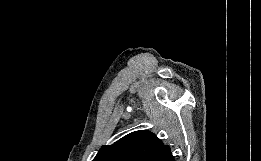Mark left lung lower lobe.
<instances>
[{
	"label": "left lung lower lobe",
	"instance_id": "1",
	"mask_svg": "<svg viewBox=\"0 0 261 161\" xmlns=\"http://www.w3.org/2000/svg\"><path fill=\"white\" fill-rule=\"evenodd\" d=\"M154 161H175L172 157L170 148L168 147L162 153H160Z\"/></svg>",
	"mask_w": 261,
	"mask_h": 161
}]
</instances>
